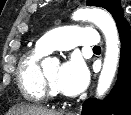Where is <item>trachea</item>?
I'll list each match as a JSON object with an SVG mask.
<instances>
[{
	"label": "trachea",
	"mask_w": 131,
	"mask_h": 115,
	"mask_svg": "<svg viewBox=\"0 0 131 115\" xmlns=\"http://www.w3.org/2000/svg\"><path fill=\"white\" fill-rule=\"evenodd\" d=\"M97 49L100 50V49H101L100 46H95V47L93 48V50H97Z\"/></svg>",
	"instance_id": "trachea-1"
}]
</instances>
